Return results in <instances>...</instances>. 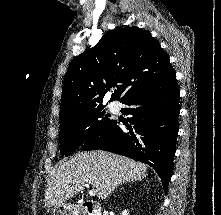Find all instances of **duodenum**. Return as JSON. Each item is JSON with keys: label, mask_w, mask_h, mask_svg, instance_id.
<instances>
[{"label": "duodenum", "mask_w": 221, "mask_h": 215, "mask_svg": "<svg viewBox=\"0 0 221 215\" xmlns=\"http://www.w3.org/2000/svg\"><path fill=\"white\" fill-rule=\"evenodd\" d=\"M81 210L83 215H101V206L95 201H86Z\"/></svg>", "instance_id": "1"}]
</instances>
